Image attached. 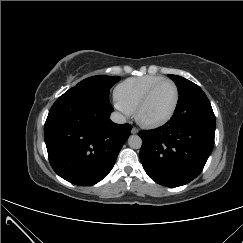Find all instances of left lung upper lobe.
Here are the masks:
<instances>
[{"instance_id": "5c2ea615", "label": "left lung upper lobe", "mask_w": 243, "mask_h": 243, "mask_svg": "<svg viewBox=\"0 0 243 243\" xmlns=\"http://www.w3.org/2000/svg\"><path fill=\"white\" fill-rule=\"evenodd\" d=\"M168 76L175 82L179 94L171 120L215 127V115L202 89L181 76Z\"/></svg>"}]
</instances>
